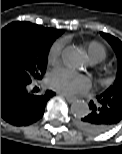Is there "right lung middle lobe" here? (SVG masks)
<instances>
[{
  "label": "right lung middle lobe",
  "instance_id": "dd1d6c3e",
  "mask_svg": "<svg viewBox=\"0 0 122 154\" xmlns=\"http://www.w3.org/2000/svg\"><path fill=\"white\" fill-rule=\"evenodd\" d=\"M62 33L63 30L46 33L32 23L20 21L1 29V74L25 82L41 79L50 46Z\"/></svg>",
  "mask_w": 122,
  "mask_h": 154
}]
</instances>
